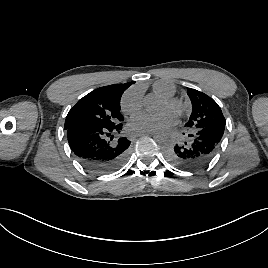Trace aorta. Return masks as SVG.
Instances as JSON below:
<instances>
[{"mask_svg":"<svg viewBox=\"0 0 268 268\" xmlns=\"http://www.w3.org/2000/svg\"><path fill=\"white\" fill-rule=\"evenodd\" d=\"M146 102H147V105H148L149 107H156V105H157V104H152V103H150L149 98L147 99ZM166 138H167V135H166V133H165L164 131H162V130H159V131H157V132L154 134V139H155L157 142H159V143L164 142V141L166 140Z\"/></svg>","mask_w":268,"mask_h":268,"instance_id":"762f6f07","label":"aorta"}]
</instances>
